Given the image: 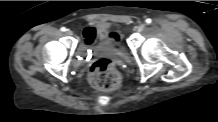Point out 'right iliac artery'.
Segmentation results:
<instances>
[{"instance_id":"right-iliac-artery-1","label":"right iliac artery","mask_w":218,"mask_h":122,"mask_svg":"<svg viewBox=\"0 0 218 122\" xmlns=\"http://www.w3.org/2000/svg\"><path fill=\"white\" fill-rule=\"evenodd\" d=\"M61 31H63V32L66 31V28H65V27H62V28H61Z\"/></svg>"}]
</instances>
